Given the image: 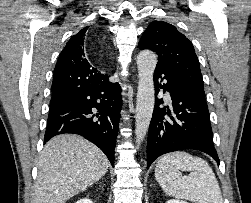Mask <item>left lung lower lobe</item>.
<instances>
[{
    "label": "left lung lower lobe",
    "instance_id": "0a47b994",
    "mask_svg": "<svg viewBox=\"0 0 251 203\" xmlns=\"http://www.w3.org/2000/svg\"><path fill=\"white\" fill-rule=\"evenodd\" d=\"M159 79L165 81L162 86ZM154 84L156 95L158 87L169 92L172 107L161 108L163 100L155 101L147 142V168L159 156L184 149L207 153L219 165L205 96L162 67L155 69Z\"/></svg>",
    "mask_w": 251,
    "mask_h": 203
}]
</instances>
